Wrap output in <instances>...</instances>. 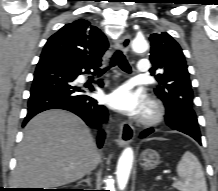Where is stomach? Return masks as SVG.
I'll use <instances>...</instances> for the list:
<instances>
[{"label":"stomach","instance_id":"1","mask_svg":"<svg viewBox=\"0 0 218 191\" xmlns=\"http://www.w3.org/2000/svg\"><path fill=\"white\" fill-rule=\"evenodd\" d=\"M139 163L145 170L155 169L161 163L160 155L153 149H146L141 153Z\"/></svg>","mask_w":218,"mask_h":191}]
</instances>
